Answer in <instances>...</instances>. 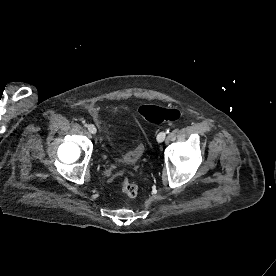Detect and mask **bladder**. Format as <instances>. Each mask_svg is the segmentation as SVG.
<instances>
[{
    "label": "bladder",
    "instance_id": "31cf9c89",
    "mask_svg": "<svg viewBox=\"0 0 276 276\" xmlns=\"http://www.w3.org/2000/svg\"><path fill=\"white\" fill-rule=\"evenodd\" d=\"M139 155V149L129 150L120 156L119 161L125 164H133Z\"/></svg>",
    "mask_w": 276,
    "mask_h": 276
}]
</instances>
